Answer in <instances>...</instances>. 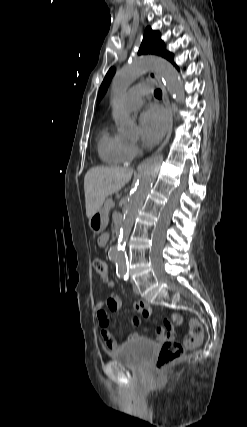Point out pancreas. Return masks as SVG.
<instances>
[{"label":"pancreas","mask_w":247,"mask_h":427,"mask_svg":"<svg viewBox=\"0 0 247 427\" xmlns=\"http://www.w3.org/2000/svg\"><path fill=\"white\" fill-rule=\"evenodd\" d=\"M112 203H113L112 198L106 199L105 204H104V208H103V211L105 213H108L110 211L111 207L113 206Z\"/></svg>","instance_id":"cf45deb5"}]
</instances>
